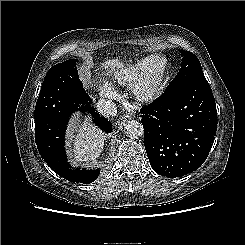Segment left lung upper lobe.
I'll return each mask as SVG.
<instances>
[{
    "instance_id": "left-lung-upper-lobe-1",
    "label": "left lung upper lobe",
    "mask_w": 245,
    "mask_h": 245,
    "mask_svg": "<svg viewBox=\"0 0 245 245\" xmlns=\"http://www.w3.org/2000/svg\"><path fill=\"white\" fill-rule=\"evenodd\" d=\"M182 55V66L179 73L166 89H170L196 78L205 77L198 58L189 51L180 50Z\"/></svg>"
}]
</instances>
